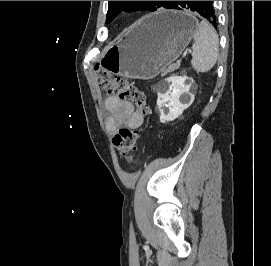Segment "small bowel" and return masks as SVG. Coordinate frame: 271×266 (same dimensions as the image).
<instances>
[{"label": "small bowel", "instance_id": "small-bowel-1", "mask_svg": "<svg viewBox=\"0 0 271 266\" xmlns=\"http://www.w3.org/2000/svg\"><path fill=\"white\" fill-rule=\"evenodd\" d=\"M104 105L110 114L107 127L111 133H114L122 125L130 129H138L142 126L143 115L135 110L132 103L111 95L105 99Z\"/></svg>", "mask_w": 271, "mask_h": 266}]
</instances>
